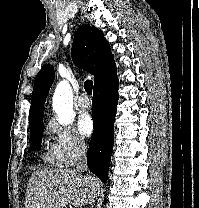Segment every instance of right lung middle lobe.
I'll return each instance as SVG.
<instances>
[{
	"mask_svg": "<svg viewBox=\"0 0 199 208\" xmlns=\"http://www.w3.org/2000/svg\"><path fill=\"white\" fill-rule=\"evenodd\" d=\"M44 125L30 130L31 137V150L38 151L41 148L42 135H43Z\"/></svg>",
	"mask_w": 199,
	"mask_h": 208,
	"instance_id": "right-lung-middle-lobe-1",
	"label": "right lung middle lobe"
}]
</instances>
